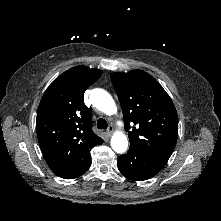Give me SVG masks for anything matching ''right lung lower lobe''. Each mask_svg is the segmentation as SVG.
<instances>
[{"instance_id":"right-lung-lower-lobe-1","label":"right lung lower lobe","mask_w":221,"mask_h":221,"mask_svg":"<svg viewBox=\"0 0 221 221\" xmlns=\"http://www.w3.org/2000/svg\"><path fill=\"white\" fill-rule=\"evenodd\" d=\"M90 165H91V158H89L88 160L83 162V164H81L80 166H77V167L71 169L70 171H68L67 173L61 175L60 177L64 178V179L77 178V177L83 175L89 169Z\"/></svg>"}]
</instances>
